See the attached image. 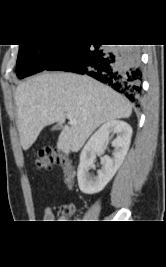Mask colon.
<instances>
[{
	"instance_id": "5ec220e1",
	"label": "colon",
	"mask_w": 166,
	"mask_h": 267,
	"mask_svg": "<svg viewBox=\"0 0 166 267\" xmlns=\"http://www.w3.org/2000/svg\"><path fill=\"white\" fill-rule=\"evenodd\" d=\"M54 164H59L63 167L67 184L73 182L75 176L74 162L68 155L53 148L40 150L39 157L36 160L37 169L40 171H48ZM74 211L75 208L72 204H63L60 207L63 218L72 215Z\"/></svg>"
}]
</instances>
